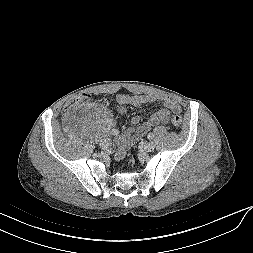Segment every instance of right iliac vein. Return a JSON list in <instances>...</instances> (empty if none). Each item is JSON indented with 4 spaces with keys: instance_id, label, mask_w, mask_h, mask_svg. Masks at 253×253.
Wrapping results in <instances>:
<instances>
[{
    "instance_id": "63e3f726",
    "label": "right iliac vein",
    "mask_w": 253,
    "mask_h": 253,
    "mask_svg": "<svg viewBox=\"0 0 253 253\" xmlns=\"http://www.w3.org/2000/svg\"><path fill=\"white\" fill-rule=\"evenodd\" d=\"M100 146L103 148V149H108L110 146H111V142L110 140L108 139H104L100 142Z\"/></svg>"
}]
</instances>
